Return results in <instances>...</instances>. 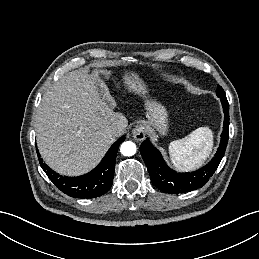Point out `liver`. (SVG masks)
Masks as SVG:
<instances>
[{"label": "liver", "mask_w": 259, "mask_h": 259, "mask_svg": "<svg viewBox=\"0 0 259 259\" xmlns=\"http://www.w3.org/2000/svg\"><path fill=\"white\" fill-rule=\"evenodd\" d=\"M115 99L105 82L86 70L69 72L43 95L35 115L37 145L56 172L79 176L98 165L120 135L110 127L126 117L115 112Z\"/></svg>", "instance_id": "1"}]
</instances>
